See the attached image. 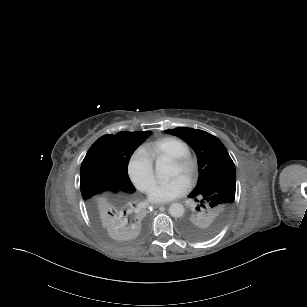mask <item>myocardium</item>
Instances as JSON below:
<instances>
[{
    "instance_id": "myocardium-1",
    "label": "myocardium",
    "mask_w": 307,
    "mask_h": 307,
    "mask_svg": "<svg viewBox=\"0 0 307 307\" xmlns=\"http://www.w3.org/2000/svg\"><path fill=\"white\" fill-rule=\"evenodd\" d=\"M170 159L179 167L181 175L188 181H194L202 172V156L195 149L190 148L179 155L171 156Z\"/></svg>"
}]
</instances>
